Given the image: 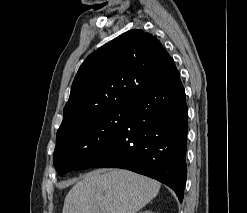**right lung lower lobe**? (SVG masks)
<instances>
[{
    "label": "right lung lower lobe",
    "instance_id": "98d812e1",
    "mask_svg": "<svg viewBox=\"0 0 247 213\" xmlns=\"http://www.w3.org/2000/svg\"><path fill=\"white\" fill-rule=\"evenodd\" d=\"M129 100L131 115L95 165L154 178L172 188L182 202L188 110L179 72Z\"/></svg>",
    "mask_w": 247,
    "mask_h": 213
}]
</instances>
